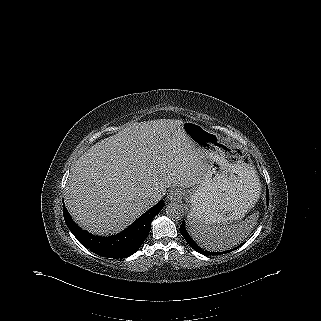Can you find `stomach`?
<instances>
[{"mask_svg": "<svg viewBox=\"0 0 321 321\" xmlns=\"http://www.w3.org/2000/svg\"><path fill=\"white\" fill-rule=\"evenodd\" d=\"M183 132L204 153L206 171L186 196L188 221L231 224L256 204L260 181L248 155L232 148L223 137L195 122L182 124Z\"/></svg>", "mask_w": 321, "mask_h": 321, "instance_id": "0dacf381", "label": "stomach"}]
</instances>
